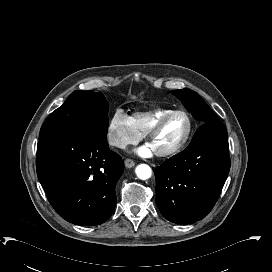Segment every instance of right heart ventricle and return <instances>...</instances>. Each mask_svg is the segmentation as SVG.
<instances>
[{
    "mask_svg": "<svg viewBox=\"0 0 272 272\" xmlns=\"http://www.w3.org/2000/svg\"><path fill=\"white\" fill-rule=\"evenodd\" d=\"M171 111V109H156L146 114L137 113L133 116V121L142 132H145L160 116Z\"/></svg>",
    "mask_w": 272,
    "mask_h": 272,
    "instance_id": "right-heart-ventricle-1",
    "label": "right heart ventricle"
}]
</instances>
